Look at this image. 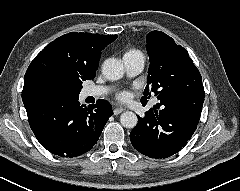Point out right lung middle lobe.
<instances>
[{"label":"right lung middle lobe","instance_id":"obj_1","mask_svg":"<svg viewBox=\"0 0 240 191\" xmlns=\"http://www.w3.org/2000/svg\"><path fill=\"white\" fill-rule=\"evenodd\" d=\"M82 85H79L76 88L65 89L62 87H53L49 92L47 97H60V98H74L78 97Z\"/></svg>","mask_w":240,"mask_h":191}]
</instances>
